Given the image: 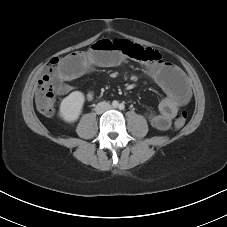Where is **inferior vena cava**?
Masks as SVG:
<instances>
[{
    "label": "inferior vena cava",
    "mask_w": 227,
    "mask_h": 227,
    "mask_svg": "<svg viewBox=\"0 0 227 227\" xmlns=\"http://www.w3.org/2000/svg\"><path fill=\"white\" fill-rule=\"evenodd\" d=\"M111 108V105L107 102H100L95 107V112L97 114H102L103 112L109 110Z\"/></svg>",
    "instance_id": "obj_1"
}]
</instances>
